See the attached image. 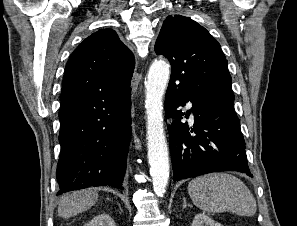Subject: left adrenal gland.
<instances>
[{
  "label": "left adrenal gland",
  "instance_id": "obj_1",
  "mask_svg": "<svg viewBox=\"0 0 297 226\" xmlns=\"http://www.w3.org/2000/svg\"><path fill=\"white\" fill-rule=\"evenodd\" d=\"M183 202H184L183 209L186 208L187 206H190L189 204H187L185 197H183Z\"/></svg>",
  "mask_w": 297,
  "mask_h": 226
}]
</instances>
